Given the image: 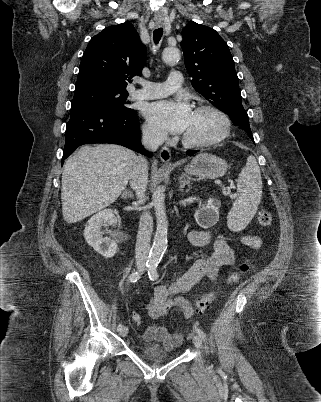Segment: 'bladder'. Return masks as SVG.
Here are the masks:
<instances>
[{
	"mask_svg": "<svg viewBox=\"0 0 321 402\" xmlns=\"http://www.w3.org/2000/svg\"><path fill=\"white\" fill-rule=\"evenodd\" d=\"M140 355L150 361L170 360L174 357L173 353H168L164 348L157 344H145L140 349Z\"/></svg>",
	"mask_w": 321,
	"mask_h": 402,
	"instance_id": "bladder-1",
	"label": "bladder"
}]
</instances>
